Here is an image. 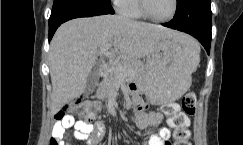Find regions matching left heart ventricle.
I'll use <instances>...</instances> for the list:
<instances>
[{"label":"left heart ventricle","mask_w":243,"mask_h":145,"mask_svg":"<svg viewBox=\"0 0 243 145\" xmlns=\"http://www.w3.org/2000/svg\"><path fill=\"white\" fill-rule=\"evenodd\" d=\"M146 6L154 17L165 18L172 12L173 0H146Z\"/></svg>","instance_id":"obj_1"}]
</instances>
